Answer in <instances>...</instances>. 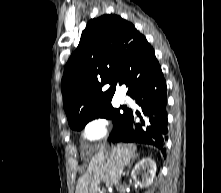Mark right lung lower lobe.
<instances>
[{"label": "right lung lower lobe", "instance_id": "obj_1", "mask_svg": "<svg viewBox=\"0 0 221 193\" xmlns=\"http://www.w3.org/2000/svg\"><path fill=\"white\" fill-rule=\"evenodd\" d=\"M129 96L136 100L142 115L129 109L126 121L110 140L139 142L162 149L167 140L166 81L158 61L132 84Z\"/></svg>", "mask_w": 221, "mask_h": 193}]
</instances>
